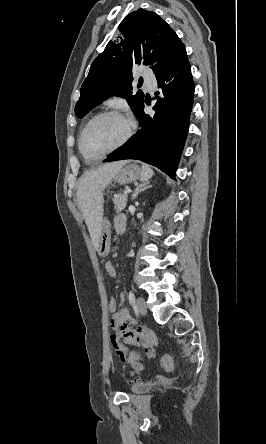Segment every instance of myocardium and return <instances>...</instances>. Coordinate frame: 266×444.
Segmentation results:
<instances>
[{
  "label": "myocardium",
  "instance_id": "obj_1",
  "mask_svg": "<svg viewBox=\"0 0 266 444\" xmlns=\"http://www.w3.org/2000/svg\"><path fill=\"white\" fill-rule=\"evenodd\" d=\"M104 116H116V117H119L120 119H122V120L124 121L125 125H126V132H125V135H124L123 138L118 142V144H116V145H115L114 147H112L111 149H109V150H107V151H105V152L99 153V154H90V153H88V152L86 151V149H85V147H84V136H85V133H86L87 129L89 128V126H90L94 121H96L97 119H99V118H101V117H104ZM132 135H133V127H132V124H131V122L128 120V118H127L122 112H120V111H118V110H114V109L103 110V111H101V112L95 114V115H94V116H93V117H92V118H91V119L85 124V126L83 127V129H82V131H81V133H80L79 139H78V147H79V150H80V152L83 154L84 157H87V158H88V157H91V156L102 157V156L108 155V154H110V153H112V152H114V151H117V150L121 149L122 147H124V146L129 142V140L131 139Z\"/></svg>",
  "mask_w": 266,
  "mask_h": 444
}]
</instances>
